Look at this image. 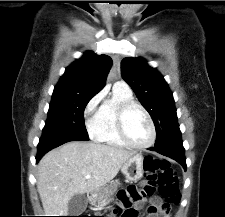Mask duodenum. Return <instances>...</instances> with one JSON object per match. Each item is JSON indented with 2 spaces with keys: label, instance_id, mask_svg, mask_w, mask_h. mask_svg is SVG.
<instances>
[{
  "label": "duodenum",
  "instance_id": "410a0bca",
  "mask_svg": "<svg viewBox=\"0 0 225 217\" xmlns=\"http://www.w3.org/2000/svg\"><path fill=\"white\" fill-rule=\"evenodd\" d=\"M88 198L90 200H93L94 199V192L93 191L88 192Z\"/></svg>",
  "mask_w": 225,
  "mask_h": 217
}]
</instances>
